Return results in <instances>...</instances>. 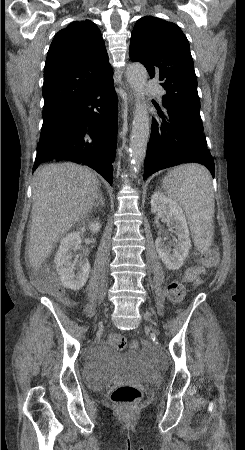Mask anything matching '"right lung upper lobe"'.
<instances>
[{"label":"right lung upper lobe","instance_id":"cb5924a9","mask_svg":"<svg viewBox=\"0 0 245 450\" xmlns=\"http://www.w3.org/2000/svg\"><path fill=\"white\" fill-rule=\"evenodd\" d=\"M113 75L101 32L89 20L59 31L44 67L43 113L56 110Z\"/></svg>","mask_w":245,"mask_h":450}]
</instances>
